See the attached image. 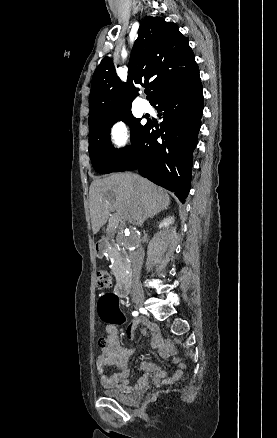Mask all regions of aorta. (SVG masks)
<instances>
[{"mask_svg":"<svg viewBox=\"0 0 277 438\" xmlns=\"http://www.w3.org/2000/svg\"><path fill=\"white\" fill-rule=\"evenodd\" d=\"M119 242L124 248H132L140 242V232L136 228L125 229L121 234Z\"/></svg>","mask_w":277,"mask_h":438,"instance_id":"aorta-1","label":"aorta"}]
</instances>
